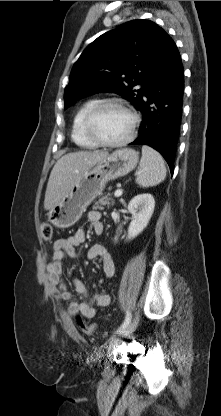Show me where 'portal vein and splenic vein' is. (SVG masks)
I'll return each mask as SVG.
<instances>
[{
  "mask_svg": "<svg viewBox=\"0 0 221 416\" xmlns=\"http://www.w3.org/2000/svg\"><path fill=\"white\" fill-rule=\"evenodd\" d=\"M122 190L121 189H117L116 191H115V193H114V196L115 197H120L121 195H122Z\"/></svg>",
  "mask_w": 221,
  "mask_h": 416,
  "instance_id": "obj_1",
  "label": "portal vein and splenic vein"
}]
</instances>
